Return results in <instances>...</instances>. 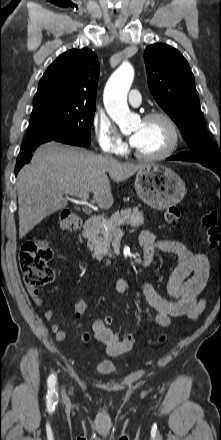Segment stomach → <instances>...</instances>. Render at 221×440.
<instances>
[{
	"instance_id": "obj_1",
	"label": "stomach",
	"mask_w": 221,
	"mask_h": 440,
	"mask_svg": "<svg viewBox=\"0 0 221 440\" xmlns=\"http://www.w3.org/2000/svg\"><path fill=\"white\" fill-rule=\"evenodd\" d=\"M135 190L140 199L158 210L178 204L186 193L181 177L171 168L145 164L135 177Z\"/></svg>"
}]
</instances>
